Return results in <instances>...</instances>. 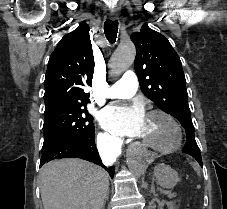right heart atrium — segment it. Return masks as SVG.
I'll use <instances>...</instances> for the list:
<instances>
[{"instance_id": "right-heart-atrium-1", "label": "right heart atrium", "mask_w": 227, "mask_h": 209, "mask_svg": "<svg viewBox=\"0 0 227 209\" xmlns=\"http://www.w3.org/2000/svg\"><path fill=\"white\" fill-rule=\"evenodd\" d=\"M97 145L103 154H116L122 146V139L111 132H101L97 137Z\"/></svg>"}]
</instances>
